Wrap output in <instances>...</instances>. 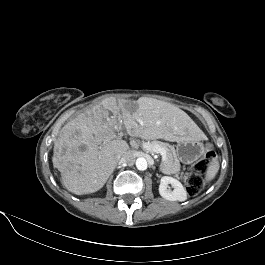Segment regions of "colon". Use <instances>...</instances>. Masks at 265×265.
<instances>
[{
  "instance_id": "1",
  "label": "colon",
  "mask_w": 265,
  "mask_h": 265,
  "mask_svg": "<svg viewBox=\"0 0 265 265\" xmlns=\"http://www.w3.org/2000/svg\"><path fill=\"white\" fill-rule=\"evenodd\" d=\"M216 154L211 146H207V150L203 158H201L194 166H192L186 175L187 192L190 196L197 195L203 186V175L214 160Z\"/></svg>"
}]
</instances>
